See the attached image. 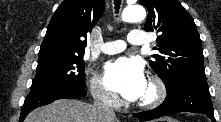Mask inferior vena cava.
<instances>
[{
	"mask_svg": "<svg viewBox=\"0 0 221 122\" xmlns=\"http://www.w3.org/2000/svg\"><path fill=\"white\" fill-rule=\"evenodd\" d=\"M94 106L99 112L101 118H116L114 110L106 103V93L102 88H96L94 91Z\"/></svg>",
	"mask_w": 221,
	"mask_h": 122,
	"instance_id": "inferior-vena-cava-1",
	"label": "inferior vena cava"
}]
</instances>
